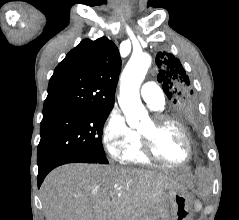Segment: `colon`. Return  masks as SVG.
Wrapping results in <instances>:
<instances>
[{"label": "colon", "instance_id": "1", "mask_svg": "<svg viewBox=\"0 0 239 220\" xmlns=\"http://www.w3.org/2000/svg\"><path fill=\"white\" fill-rule=\"evenodd\" d=\"M185 219V215L180 216L178 220H184Z\"/></svg>", "mask_w": 239, "mask_h": 220}]
</instances>
